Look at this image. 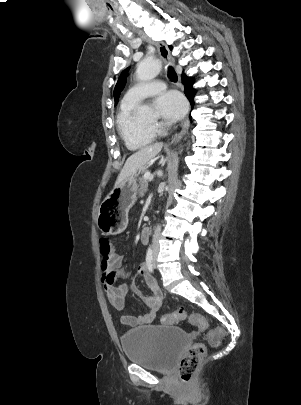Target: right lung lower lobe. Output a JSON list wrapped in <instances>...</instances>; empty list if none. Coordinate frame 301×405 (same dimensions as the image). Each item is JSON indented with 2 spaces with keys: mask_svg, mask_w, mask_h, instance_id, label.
Listing matches in <instances>:
<instances>
[{
  "mask_svg": "<svg viewBox=\"0 0 301 405\" xmlns=\"http://www.w3.org/2000/svg\"><path fill=\"white\" fill-rule=\"evenodd\" d=\"M182 79H183V83H184V85H185V94H186L187 98L190 100L191 105H192V107H193V105H194L193 98H194V95H195V92H196V91L192 88L193 79L187 77L185 74L182 75Z\"/></svg>",
  "mask_w": 301,
  "mask_h": 405,
  "instance_id": "1",
  "label": "right lung lower lobe"
}]
</instances>
